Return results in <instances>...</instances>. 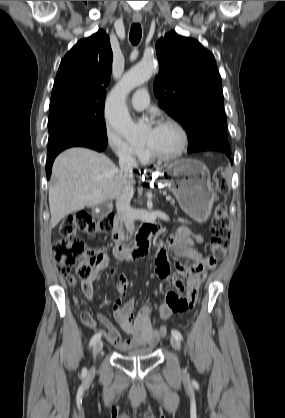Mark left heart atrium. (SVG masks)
Listing matches in <instances>:
<instances>
[{"mask_svg":"<svg viewBox=\"0 0 285 418\" xmlns=\"http://www.w3.org/2000/svg\"><path fill=\"white\" fill-rule=\"evenodd\" d=\"M159 126H160V125L156 124V125L153 127V130H156Z\"/></svg>","mask_w":285,"mask_h":418,"instance_id":"left-heart-atrium-1","label":"left heart atrium"}]
</instances>
